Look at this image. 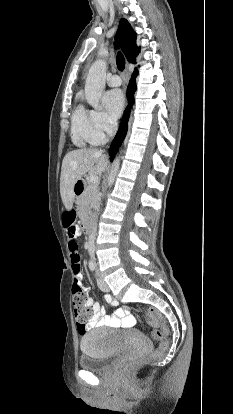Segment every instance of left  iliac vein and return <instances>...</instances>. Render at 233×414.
I'll use <instances>...</instances> for the list:
<instances>
[{
    "mask_svg": "<svg viewBox=\"0 0 233 414\" xmlns=\"http://www.w3.org/2000/svg\"><path fill=\"white\" fill-rule=\"evenodd\" d=\"M97 284L98 287L100 288V290L104 291V292H108L109 286L107 285V283L104 281V279L99 275L98 279H97Z\"/></svg>",
    "mask_w": 233,
    "mask_h": 414,
    "instance_id": "obj_1",
    "label": "left iliac vein"
}]
</instances>
